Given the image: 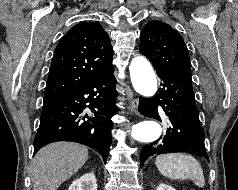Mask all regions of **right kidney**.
<instances>
[{
  "instance_id": "ca27d5eb",
  "label": "right kidney",
  "mask_w": 238,
  "mask_h": 190,
  "mask_svg": "<svg viewBox=\"0 0 238 190\" xmlns=\"http://www.w3.org/2000/svg\"><path fill=\"white\" fill-rule=\"evenodd\" d=\"M68 190H97V182L94 173H86L73 181Z\"/></svg>"
}]
</instances>
